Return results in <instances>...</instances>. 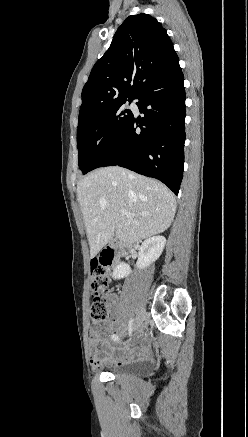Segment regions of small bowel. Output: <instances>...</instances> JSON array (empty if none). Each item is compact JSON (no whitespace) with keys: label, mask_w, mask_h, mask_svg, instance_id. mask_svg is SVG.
Segmentation results:
<instances>
[{"label":"small bowel","mask_w":248,"mask_h":437,"mask_svg":"<svg viewBox=\"0 0 248 437\" xmlns=\"http://www.w3.org/2000/svg\"><path fill=\"white\" fill-rule=\"evenodd\" d=\"M106 299L111 309L115 310L118 296L110 293ZM106 327L113 330L116 327L115 321L107 323ZM89 335L90 359L94 369H99L103 365L121 364L134 359L147 358L151 354L148 340L142 332L131 335L130 339L122 345L110 343L107 337L102 335L99 326L91 327Z\"/></svg>","instance_id":"1"}]
</instances>
